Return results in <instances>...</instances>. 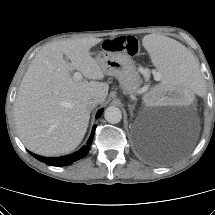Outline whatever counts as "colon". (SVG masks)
I'll return each instance as SVG.
<instances>
[{
	"mask_svg": "<svg viewBox=\"0 0 215 215\" xmlns=\"http://www.w3.org/2000/svg\"><path fill=\"white\" fill-rule=\"evenodd\" d=\"M105 51L124 52L129 56H136L140 53V44L135 36H120L114 39L105 38L101 42Z\"/></svg>",
	"mask_w": 215,
	"mask_h": 215,
	"instance_id": "1",
	"label": "colon"
}]
</instances>
